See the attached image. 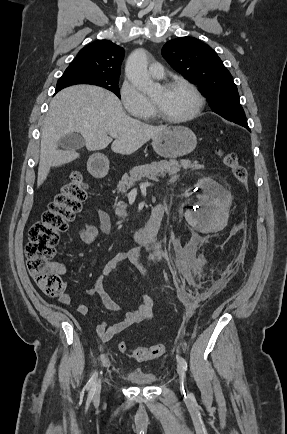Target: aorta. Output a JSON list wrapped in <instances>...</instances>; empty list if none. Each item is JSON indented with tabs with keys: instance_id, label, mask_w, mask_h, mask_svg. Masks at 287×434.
I'll use <instances>...</instances> for the list:
<instances>
[{
	"instance_id": "aorta-1",
	"label": "aorta",
	"mask_w": 287,
	"mask_h": 434,
	"mask_svg": "<svg viewBox=\"0 0 287 434\" xmlns=\"http://www.w3.org/2000/svg\"><path fill=\"white\" fill-rule=\"evenodd\" d=\"M148 59L144 49L133 51L128 57L125 72L128 79L141 91L152 92L156 85L148 75Z\"/></svg>"
}]
</instances>
